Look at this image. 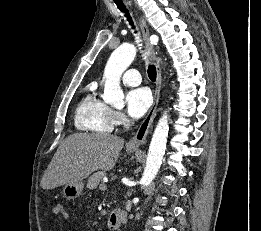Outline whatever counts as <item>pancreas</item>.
<instances>
[{
  "label": "pancreas",
  "mask_w": 261,
  "mask_h": 231,
  "mask_svg": "<svg viewBox=\"0 0 261 231\" xmlns=\"http://www.w3.org/2000/svg\"><path fill=\"white\" fill-rule=\"evenodd\" d=\"M106 175L105 171L93 173L88 179L87 188L95 189Z\"/></svg>",
  "instance_id": "obj_1"
}]
</instances>
